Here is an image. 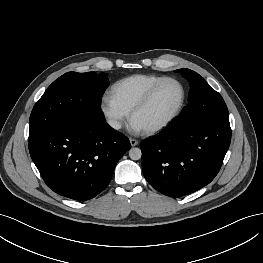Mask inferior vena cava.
I'll list each match as a JSON object with an SVG mask.
<instances>
[{"label": "inferior vena cava", "mask_w": 263, "mask_h": 263, "mask_svg": "<svg viewBox=\"0 0 263 263\" xmlns=\"http://www.w3.org/2000/svg\"><path fill=\"white\" fill-rule=\"evenodd\" d=\"M108 123L114 129H120L121 128V123L117 120H109Z\"/></svg>", "instance_id": "1"}]
</instances>
